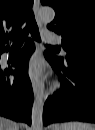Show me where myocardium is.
I'll use <instances>...</instances> for the list:
<instances>
[{"label": "myocardium", "mask_w": 95, "mask_h": 130, "mask_svg": "<svg viewBox=\"0 0 95 130\" xmlns=\"http://www.w3.org/2000/svg\"><path fill=\"white\" fill-rule=\"evenodd\" d=\"M57 89H59V86H58V85H55V86H54V90H57Z\"/></svg>", "instance_id": "obj_1"}]
</instances>
